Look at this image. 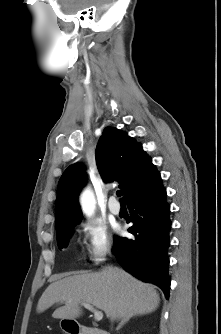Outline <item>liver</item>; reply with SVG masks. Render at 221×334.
<instances>
[{
    "label": "liver",
    "mask_w": 221,
    "mask_h": 334,
    "mask_svg": "<svg viewBox=\"0 0 221 334\" xmlns=\"http://www.w3.org/2000/svg\"><path fill=\"white\" fill-rule=\"evenodd\" d=\"M160 297L152 285L143 283L118 267L106 266L98 272L65 277L50 284L38 301L37 313L55 303L53 318L75 319L88 303L104 311L107 318L125 319L156 310Z\"/></svg>",
    "instance_id": "liver-1"
}]
</instances>
